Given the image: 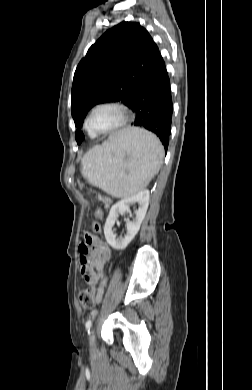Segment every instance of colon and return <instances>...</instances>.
Masks as SVG:
<instances>
[{
  "instance_id": "1",
  "label": "colon",
  "mask_w": 252,
  "mask_h": 390,
  "mask_svg": "<svg viewBox=\"0 0 252 390\" xmlns=\"http://www.w3.org/2000/svg\"><path fill=\"white\" fill-rule=\"evenodd\" d=\"M95 220L92 224V228L95 232H100L101 227L99 224V220L102 219L103 213L100 209H96L94 213ZM81 273L85 279H88L91 275L90 270L86 266V257L82 259ZM79 302L83 308H91L95 303V295L91 288L83 289L79 294Z\"/></svg>"
}]
</instances>
